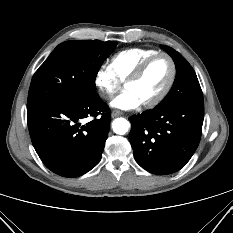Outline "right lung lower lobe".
I'll return each instance as SVG.
<instances>
[{"label":"right lung lower lobe","instance_id":"obj_1","mask_svg":"<svg viewBox=\"0 0 233 233\" xmlns=\"http://www.w3.org/2000/svg\"><path fill=\"white\" fill-rule=\"evenodd\" d=\"M107 110L96 91L27 107L30 137L44 165L63 177H79L94 168L108 137ZM87 117L94 119L83 124Z\"/></svg>","mask_w":233,"mask_h":233}]
</instances>
